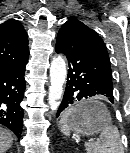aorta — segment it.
<instances>
[{
	"label": "aorta",
	"mask_w": 130,
	"mask_h": 153,
	"mask_svg": "<svg viewBox=\"0 0 130 153\" xmlns=\"http://www.w3.org/2000/svg\"><path fill=\"white\" fill-rule=\"evenodd\" d=\"M66 76V63L63 57L60 55L54 57L50 66V87L48 94V104L52 111H56L60 105Z\"/></svg>",
	"instance_id": "762f6f07"
}]
</instances>
